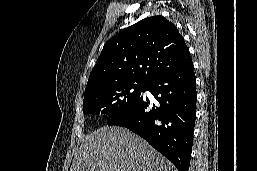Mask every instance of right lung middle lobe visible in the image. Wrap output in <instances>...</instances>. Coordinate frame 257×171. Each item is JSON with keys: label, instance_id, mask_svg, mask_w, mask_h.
Segmentation results:
<instances>
[{"label": "right lung middle lobe", "instance_id": "right-lung-middle-lobe-1", "mask_svg": "<svg viewBox=\"0 0 257 171\" xmlns=\"http://www.w3.org/2000/svg\"><path fill=\"white\" fill-rule=\"evenodd\" d=\"M148 83L125 82L85 92L83 112L107 114V119L127 110L145 91Z\"/></svg>", "mask_w": 257, "mask_h": 171}]
</instances>
